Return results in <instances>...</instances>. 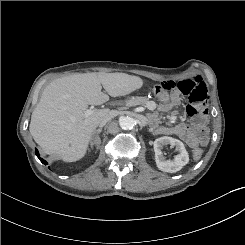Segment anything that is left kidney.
<instances>
[{
  "mask_svg": "<svg viewBox=\"0 0 245 245\" xmlns=\"http://www.w3.org/2000/svg\"><path fill=\"white\" fill-rule=\"evenodd\" d=\"M170 144L175 146L179 151L174 159H166L163 156L162 149ZM155 162L157 167L164 172L175 173L180 171L189 162V155L184 144L175 138L163 136L154 141Z\"/></svg>",
  "mask_w": 245,
  "mask_h": 245,
  "instance_id": "left-kidney-1",
  "label": "left kidney"
}]
</instances>
